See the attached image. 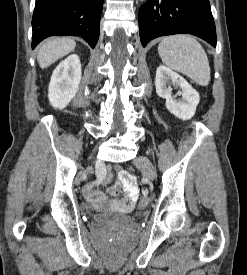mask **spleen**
Wrapping results in <instances>:
<instances>
[{
	"mask_svg": "<svg viewBox=\"0 0 247 275\" xmlns=\"http://www.w3.org/2000/svg\"><path fill=\"white\" fill-rule=\"evenodd\" d=\"M158 52L168 67L187 75L200 86L209 84V61L195 38L184 34L164 37L158 45Z\"/></svg>",
	"mask_w": 247,
	"mask_h": 275,
	"instance_id": "3e777b00",
	"label": "spleen"
}]
</instances>
